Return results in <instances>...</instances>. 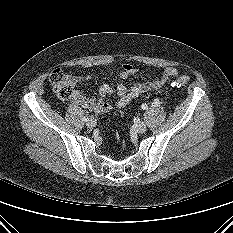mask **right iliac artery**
I'll return each instance as SVG.
<instances>
[{
    "instance_id": "right-iliac-artery-1",
    "label": "right iliac artery",
    "mask_w": 233,
    "mask_h": 233,
    "mask_svg": "<svg viewBox=\"0 0 233 233\" xmlns=\"http://www.w3.org/2000/svg\"><path fill=\"white\" fill-rule=\"evenodd\" d=\"M89 120V117L88 116H84L83 117V121H88Z\"/></svg>"
}]
</instances>
